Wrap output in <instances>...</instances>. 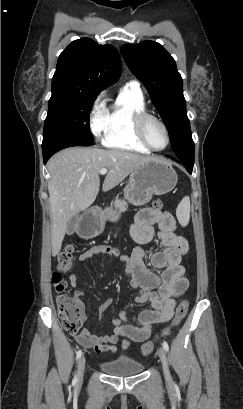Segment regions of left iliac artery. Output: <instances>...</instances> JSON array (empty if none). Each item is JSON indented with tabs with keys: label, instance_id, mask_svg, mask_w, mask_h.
Listing matches in <instances>:
<instances>
[{
	"label": "left iliac artery",
	"instance_id": "44dca946",
	"mask_svg": "<svg viewBox=\"0 0 243 409\" xmlns=\"http://www.w3.org/2000/svg\"><path fill=\"white\" fill-rule=\"evenodd\" d=\"M162 346L167 352L169 351V346H168V343L166 341H163Z\"/></svg>",
	"mask_w": 243,
	"mask_h": 409
}]
</instances>
